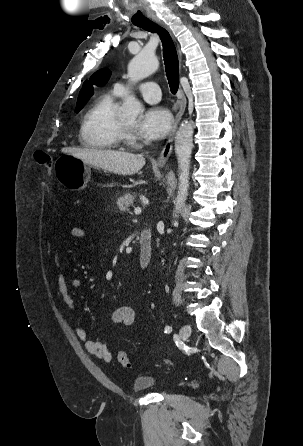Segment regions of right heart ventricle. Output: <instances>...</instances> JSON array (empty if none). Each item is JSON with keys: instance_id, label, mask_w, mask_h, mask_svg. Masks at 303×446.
Here are the masks:
<instances>
[{"instance_id": "e07e8e85", "label": "right heart ventricle", "mask_w": 303, "mask_h": 446, "mask_svg": "<svg viewBox=\"0 0 303 446\" xmlns=\"http://www.w3.org/2000/svg\"><path fill=\"white\" fill-rule=\"evenodd\" d=\"M120 96L114 88L101 94L88 107L81 119L79 130V142L82 146L107 150L120 145L123 133L116 111Z\"/></svg>"}]
</instances>
